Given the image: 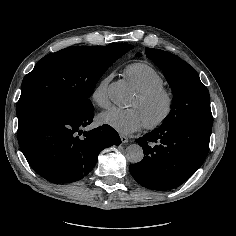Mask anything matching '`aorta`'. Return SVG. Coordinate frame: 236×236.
Instances as JSON below:
<instances>
[{
  "label": "aorta",
  "mask_w": 236,
  "mask_h": 236,
  "mask_svg": "<svg viewBox=\"0 0 236 236\" xmlns=\"http://www.w3.org/2000/svg\"><path fill=\"white\" fill-rule=\"evenodd\" d=\"M112 98L116 103L123 102V95H121V94L114 95ZM125 156L129 162H131L133 164L139 163L144 158L143 149L139 144H136V143L131 144L126 148Z\"/></svg>",
  "instance_id": "aorta-1"
}]
</instances>
